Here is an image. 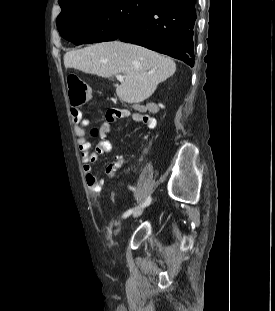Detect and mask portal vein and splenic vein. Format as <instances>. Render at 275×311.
<instances>
[{"mask_svg":"<svg viewBox=\"0 0 275 311\" xmlns=\"http://www.w3.org/2000/svg\"><path fill=\"white\" fill-rule=\"evenodd\" d=\"M116 78H117L118 81L123 82L124 79L126 78V76H124V75H117Z\"/></svg>","mask_w":275,"mask_h":311,"instance_id":"1","label":"portal vein and splenic vein"}]
</instances>
